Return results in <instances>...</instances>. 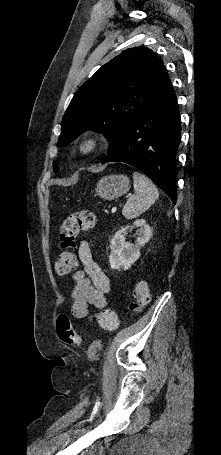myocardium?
Masks as SVG:
<instances>
[{
  "label": "myocardium",
  "instance_id": "f54148a6",
  "mask_svg": "<svg viewBox=\"0 0 221 455\" xmlns=\"http://www.w3.org/2000/svg\"><path fill=\"white\" fill-rule=\"evenodd\" d=\"M101 140L98 135L94 133L83 136L77 145V150L81 155H90L98 150Z\"/></svg>",
  "mask_w": 221,
  "mask_h": 455
}]
</instances>
